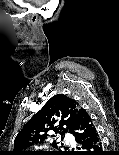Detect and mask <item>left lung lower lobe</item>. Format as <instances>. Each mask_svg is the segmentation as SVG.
Returning a JSON list of instances; mask_svg holds the SVG:
<instances>
[{"label":"left lung lower lobe","instance_id":"obj_1","mask_svg":"<svg viewBox=\"0 0 119 155\" xmlns=\"http://www.w3.org/2000/svg\"><path fill=\"white\" fill-rule=\"evenodd\" d=\"M74 128L75 140L80 144V148L86 152L73 155H104L97 129L89 114L83 108L78 109Z\"/></svg>","mask_w":119,"mask_h":155}]
</instances>
